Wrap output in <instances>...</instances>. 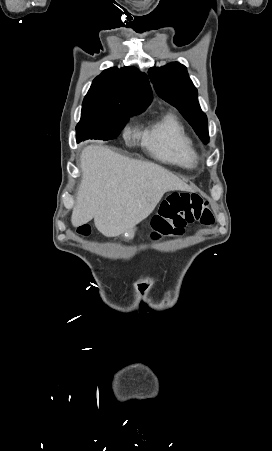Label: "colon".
<instances>
[{"mask_svg":"<svg viewBox=\"0 0 272 451\" xmlns=\"http://www.w3.org/2000/svg\"><path fill=\"white\" fill-rule=\"evenodd\" d=\"M214 222L215 217L206 198L198 193L177 192L162 204L159 216L153 217L151 237L156 240L161 235H176L179 233L178 228L186 225L210 227ZM78 232L88 236L90 230L87 226H80Z\"/></svg>","mask_w":272,"mask_h":451,"instance_id":"1","label":"colon"}]
</instances>
